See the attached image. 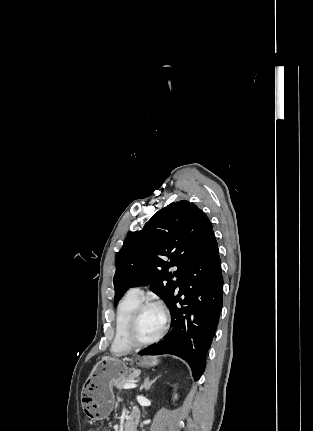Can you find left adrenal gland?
Here are the masks:
<instances>
[{
	"mask_svg": "<svg viewBox=\"0 0 313 431\" xmlns=\"http://www.w3.org/2000/svg\"><path fill=\"white\" fill-rule=\"evenodd\" d=\"M161 375H159V376H157L156 378H154L153 380H149V377L148 378H146L145 380H144V383H143V385H142V388H145V390L147 391V390H149L150 389V387H151V385L160 377Z\"/></svg>",
	"mask_w": 313,
	"mask_h": 431,
	"instance_id": "1",
	"label": "left adrenal gland"
}]
</instances>
